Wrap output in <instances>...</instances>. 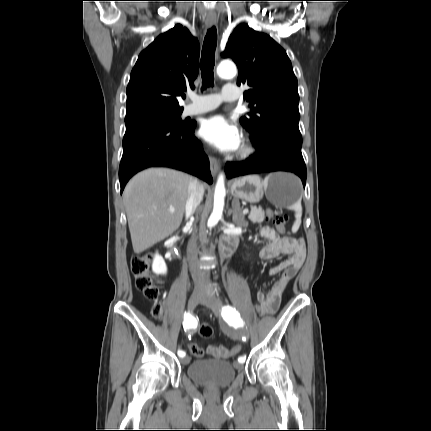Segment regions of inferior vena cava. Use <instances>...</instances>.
I'll list each match as a JSON object with an SVG mask.
<instances>
[{"label": "inferior vena cava", "instance_id": "obj_1", "mask_svg": "<svg viewBox=\"0 0 431 431\" xmlns=\"http://www.w3.org/2000/svg\"><path fill=\"white\" fill-rule=\"evenodd\" d=\"M204 188L201 183L197 179H190L188 185V198L185 205L186 218H189L194 214L196 208L199 206L200 202L203 199ZM188 255L191 259H195L198 254L196 239L192 238L187 247ZM192 278L195 283V289L201 290V284L204 280L203 273L192 267L191 268Z\"/></svg>", "mask_w": 431, "mask_h": 431}]
</instances>
